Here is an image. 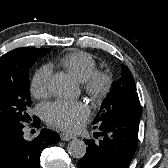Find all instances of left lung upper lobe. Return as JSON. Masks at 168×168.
Masks as SVG:
<instances>
[{
  "label": "left lung upper lobe",
  "mask_w": 168,
  "mask_h": 168,
  "mask_svg": "<svg viewBox=\"0 0 168 168\" xmlns=\"http://www.w3.org/2000/svg\"><path fill=\"white\" fill-rule=\"evenodd\" d=\"M121 78L112 84L110 93L104 99L93 123L100 124L109 119L126 117L139 122L142 112L132 73L126 65H121Z\"/></svg>",
  "instance_id": "left-lung-upper-lobe-1"
}]
</instances>
